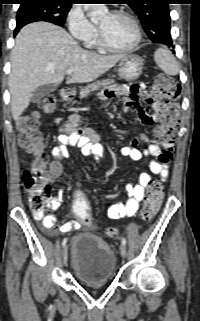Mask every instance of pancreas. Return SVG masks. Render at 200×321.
Wrapping results in <instances>:
<instances>
[{
	"mask_svg": "<svg viewBox=\"0 0 200 321\" xmlns=\"http://www.w3.org/2000/svg\"><path fill=\"white\" fill-rule=\"evenodd\" d=\"M116 83L111 79H103L89 84L87 87L83 88L80 92V98H86L90 93L97 91L101 88H108L110 86H115Z\"/></svg>",
	"mask_w": 200,
	"mask_h": 321,
	"instance_id": "pancreas-1",
	"label": "pancreas"
}]
</instances>
